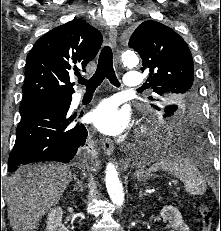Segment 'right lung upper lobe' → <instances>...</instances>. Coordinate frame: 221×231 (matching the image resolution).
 <instances>
[{
    "label": "right lung upper lobe",
    "instance_id": "right-lung-upper-lobe-1",
    "mask_svg": "<svg viewBox=\"0 0 221 231\" xmlns=\"http://www.w3.org/2000/svg\"><path fill=\"white\" fill-rule=\"evenodd\" d=\"M101 44L99 30L80 19L43 35L26 58L23 100L71 97L70 76L79 74L80 69L85 71Z\"/></svg>",
    "mask_w": 221,
    "mask_h": 231
}]
</instances>
